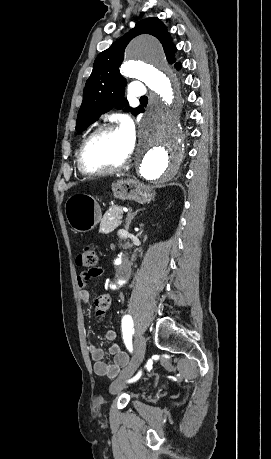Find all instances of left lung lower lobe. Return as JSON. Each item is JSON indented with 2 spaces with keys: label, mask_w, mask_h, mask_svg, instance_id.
<instances>
[{
  "label": "left lung lower lobe",
  "mask_w": 271,
  "mask_h": 459,
  "mask_svg": "<svg viewBox=\"0 0 271 459\" xmlns=\"http://www.w3.org/2000/svg\"><path fill=\"white\" fill-rule=\"evenodd\" d=\"M175 67L177 68V70H179L181 68V64L180 63H176Z\"/></svg>",
  "instance_id": "left-lung-lower-lobe-1"
}]
</instances>
